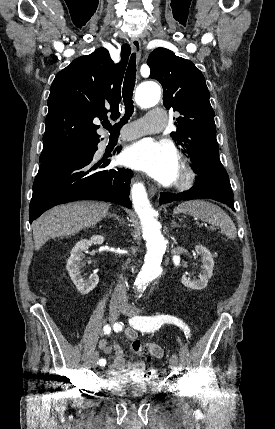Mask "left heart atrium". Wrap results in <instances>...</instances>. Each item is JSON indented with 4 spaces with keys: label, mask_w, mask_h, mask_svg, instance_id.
Wrapping results in <instances>:
<instances>
[{
    "label": "left heart atrium",
    "mask_w": 275,
    "mask_h": 429,
    "mask_svg": "<svg viewBox=\"0 0 275 429\" xmlns=\"http://www.w3.org/2000/svg\"><path fill=\"white\" fill-rule=\"evenodd\" d=\"M121 162L147 172L163 184L175 181L179 171L177 153L165 142L138 141L123 152Z\"/></svg>",
    "instance_id": "39dd6f15"
}]
</instances>
